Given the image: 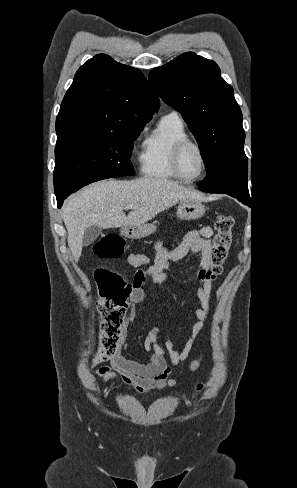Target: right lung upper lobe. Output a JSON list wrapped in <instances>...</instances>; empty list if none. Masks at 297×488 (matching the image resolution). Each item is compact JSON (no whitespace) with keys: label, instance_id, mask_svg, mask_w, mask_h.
<instances>
[{"label":"right lung upper lobe","instance_id":"right-lung-upper-lobe-1","mask_svg":"<svg viewBox=\"0 0 297 488\" xmlns=\"http://www.w3.org/2000/svg\"><path fill=\"white\" fill-rule=\"evenodd\" d=\"M159 105L140 70L98 54L79 68L64 96L57 137L145 125Z\"/></svg>","mask_w":297,"mask_h":488}]
</instances>
